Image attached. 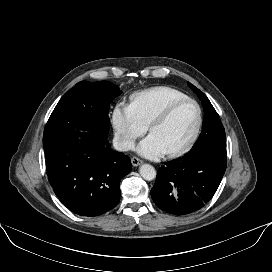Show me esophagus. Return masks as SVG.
<instances>
[{"mask_svg": "<svg viewBox=\"0 0 272 272\" xmlns=\"http://www.w3.org/2000/svg\"><path fill=\"white\" fill-rule=\"evenodd\" d=\"M131 163L133 166H139L142 163V160H140L137 157H132L131 158Z\"/></svg>", "mask_w": 272, "mask_h": 272, "instance_id": "1", "label": "esophagus"}]
</instances>
